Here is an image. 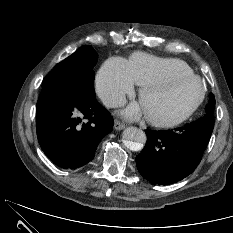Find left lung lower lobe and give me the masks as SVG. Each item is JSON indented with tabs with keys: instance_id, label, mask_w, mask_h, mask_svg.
Returning <instances> with one entry per match:
<instances>
[{
	"instance_id": "0a47b994",
	"label": "left lung lower lobe",
	"mask_w": 233,
	"mask_h": 233,
	"mask_svg": "<svg viewBox=\"0 0 233 233\" xmlns=\"http://www.w3.org/2000/svg\"><path fill=\"white\" fill-rule=\"evenodd\" d=\"M212 131V126L198 121L175 130H147L146 145L136 157L138 171L154 184L182 180L200 163Z\"/></svg>"
}]
</instances>
